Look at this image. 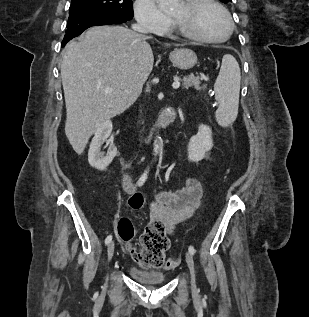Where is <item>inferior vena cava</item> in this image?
Wrapping results in <instances>:
<instances>
[{
    "instance_id": "obj_1",
    "label": "inferior vena cava",
    "mask_w": 309,
    "mask_h": 317,
    "mask_svg": "<svg viewBox=\"0 0 309 317\" xmlns=\"http://www.w3.org/2000/svg\"><path fill=\"white\" fill-rule=\"evenodd\" d=\"M132 28H133L135 31L144 32V30H143L139 25H133Z\"/></svg>"
}]
</instances>
